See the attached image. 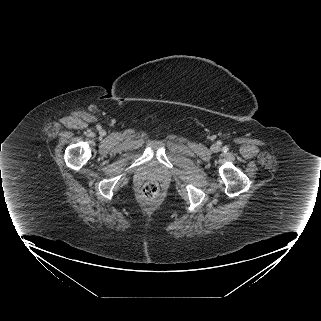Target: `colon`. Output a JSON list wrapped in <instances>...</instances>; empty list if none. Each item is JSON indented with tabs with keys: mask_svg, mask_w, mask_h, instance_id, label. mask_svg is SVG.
Listing matches in <instances>:
<instances>
[{
	"mask_svg": "<svg viewBox=\"0 0 321 321\" xmlns=\"http://www.w3.org/2000/svg\"><path fill=\"white\" fill-rule=\"evenodd\" d=\"M143 195L148 199H154L159 194V184L155 181H149L143 186Z\"/></svg>",
	"mask_w": 321,
	"mask_h": 321,
	"instance_id": "1",
	"label": "colon"
}]
</instances>
